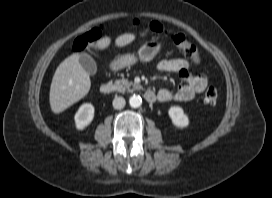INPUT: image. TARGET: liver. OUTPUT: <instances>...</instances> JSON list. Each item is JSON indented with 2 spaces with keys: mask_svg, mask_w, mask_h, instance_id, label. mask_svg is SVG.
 Returning a JSON list of instances; mask_svg holds the SVG:
<instances>
[{
  "mask_svg": "<svg viewBox=\"0 0 272 198\" xmlns=\"http://www.w3.org/2000/svg\"><path fill=\"white\" fill-rule=\"evenodd\" d=\"M144 35V34H142ZM135 40V35L126 33L116 38L115 44L123 47ZM111 43L104 37L96 44L98 49H105ZM79 54H72L57 67L50 86L49 102L53 113L58 114L82 99L90 90L89 74L79 63Z\"/></svg>",
  "mask_w": 272,
  "mask_h": 198,
  "instance_id": "liver-1",
  "label": "liver"
}]
</instances>
